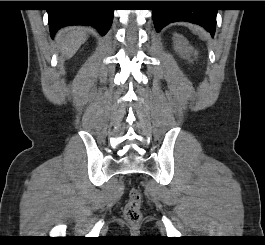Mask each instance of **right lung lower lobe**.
<instances>
[{
    "label": "right lung lower lobe",
    "mask_w": 265,
    "mask_h": 245,
    "mask_svg": "<svg viewBox=\"0 0 265 245\" xmlns=\"http://www.w3.org/2000/svg\"><path fill=\"white\" fill-rule=\"evenodd\" d=\"M66 8L48 10L50 34L69 25L93 26L103 36L112 23L114 10L109 1H67Z\"/></svg>",
    "instance_id": "right-lung-lower-lobe-1"
}]
</instances>
